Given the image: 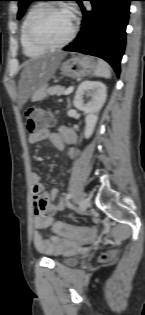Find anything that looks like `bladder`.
<instances>
[{
	"label": "bladder",
	"instance_id": "obj_1",
	"mask_svg": "<svg viewBox=\"0 0 145 315\" xmlns=\"http://www.w3.org/2000/svg\"><path fill=\"white\" fill-rule=\"evenodd\" d=\"M78 252H70L63 255L60 258V262L65 265H74L77 262Z\"/></svg>",
	"mask_w": 145,
	"mask_h": 315
}]
</instances>
